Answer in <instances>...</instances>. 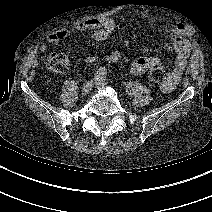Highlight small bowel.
<instances>
[{
    "label": "small bowel",
    "instance_id": "obj_1",
    "mask_svg": "<svg viewBox=\"0 0 212 212\" xmlns=\"http://www.w3.org/2000/svg\"><path fill=\"white\" fill-rule=\"evenodd\" d=\"M123 14H119V18H123ZM115 20L108 16H100L81 21L73 26L75 33H88L89 36L96 41L107 40L114 32ZM187 31V25L177 22L168 32V39L164 43V49L176 56V65L169 72L166 81L161 84L160 88L163 92H171L179 83L183 71L188 63L191 54L190 43L182 36ZM71 36V32L67 30H58L48 36L49 43H57ZM42 52L49 50L46 44L40 46ZM121 58L118 51H113L105 56L89 55L85 58L87 64H95L100 61L117 62ZM160 65V60L156 57H140L134 60L130 65V71L133 75H142L154 66Z\"/></svg>",
    "mask_w": 212,
    "mask_h": 212
}]
</instances>
